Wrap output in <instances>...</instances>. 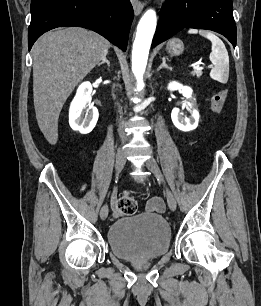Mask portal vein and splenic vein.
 <instances>
[{
	"label": "portal vein and splenic vein",
	"mask_w": 261,
	"mask_h": 306,
	"mask_svg": "<svg viewBox=\"0 0 261 306\" xmlns=\"http://www.w3.org/2000/svg\"><path fill=\"white\" fill-rule=\"evenodd\" d=\"M193 69H194L195 71H201V70L204 69V67H203V66H200V65H195V66H193Z\"/></svg>",
	"instance_id": "18ae733b"
}]
</instances>
